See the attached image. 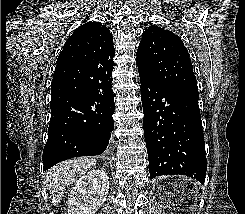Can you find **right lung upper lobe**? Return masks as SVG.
<instances>
[{
  "label": "right lung upper lobe",
  "mask_w": 245,
  "mask_h": 214,
  "mask_svg": "<svg viewBox=\"0 0 245 214\" xmlns=\"http://www.w3.org/2000/svg\"><path fill=\"white\" fill-rule=\"evenodd\" d=\"M112 33L100 22L78 27L63 46L51 84V92L77 93L86 88L95 71L113 66Z\"/></svg>",
  "instance_id": "1"
}]
</instances>
